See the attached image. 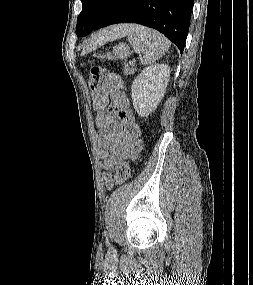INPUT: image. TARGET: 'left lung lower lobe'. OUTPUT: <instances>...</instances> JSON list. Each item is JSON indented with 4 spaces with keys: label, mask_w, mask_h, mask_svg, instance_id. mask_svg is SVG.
<instances>
[{
    "label": "left lung lower lobe",
    "mask_w": 253,
    "mask_h": 285,
    "mask_svg": "<svg viewBox=\"0 0 253 285\" xmlns=\"http://www.w3.org/2000/svg\"><path fill=\"white\" fill-rule=\"evenodd\" d=\"M194 0H114L95 28L116 23H138L163 33L184 50Z\"/></svg>",
    "instance_id": "left-lung-lower-lobe-1"
}]
</instances>
